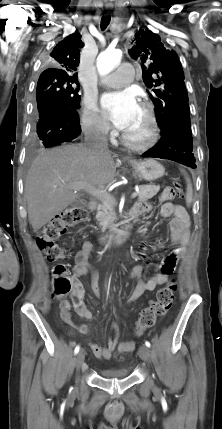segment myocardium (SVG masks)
I'll list each match as a JSON object with an SVG mask.
<instances>
[{
    "label": "myocardium",
    "mask_w": 222,
    "mask_h": 429,
    "mask_svg": "<svg viewBox=\"0 0 222 429\" xmlns=\"http://www.w3.org/2000/svg\"><path fill=\"white\" fill-rule=\"evenodd\" d=\"M140 107L144 110L147 118V130L145 136L141 139H134L126 132L122 134L123 143L130 149L136 151H144L153 147L159 137V126L153 106L147 102L142 101Z\"/></svg>",
    "instance_id": "myocardium-1"
}]
</instances>
